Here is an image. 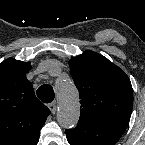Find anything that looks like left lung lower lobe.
<instances>
[{"instance_id":"0a47b994","label":"left lung lower lobe","mask_w":145,"mask_h":145,"mask_svg":"<svg viewBox=\"0 0 145 145\" xmlns=\"http://www.w3.org/2000/svg\"><path fill=\"white\" fill-rule=\"evenodd\" d=\"M127 128L122 123H83L66 130L71 145H114Z\"/></svg>"}]
</instances>
